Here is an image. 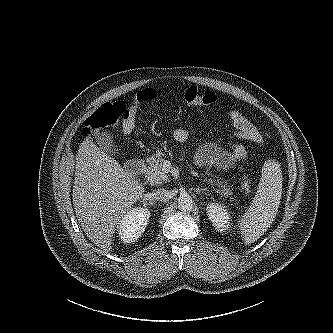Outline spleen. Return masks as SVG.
<instances>
[{"label": "spleen", "instance_id": "spleen-1", "mask_svg": "<svg viewBox=\"0 0 333 333\" xmlns=\"http://www.w3.org/2000/svg\"><path fill=\"white\" fill-rule=\"evenodd\" d=\"M256 195L245 214L239 220V228L245 244L259 239L273 223L282 195L283 176L279 163L265 161Z\"/></svg>", "mask_w": 333, "mask_h": 333}]
</instances>
